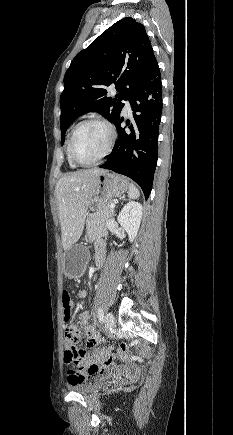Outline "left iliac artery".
Listing matches in <instances>:
<instances>
[{
	"mask_svg": "<svg viewBox=\"0 0 233 435\" xmlns=\"http://www.w3.org/2000/svg\"><path fill=\"white\" fill-rule=\"evenodd\" d=\"M103 317H104V311H103V308L102 307H100L99 309H98V318H99V321L100 322H103Z\"/></svg>",
	"mask_w": 233,
	"mask_h": 435,
	"instance_id": "obj_1",
	"label": "left iliac artery"
}]
</instances>
